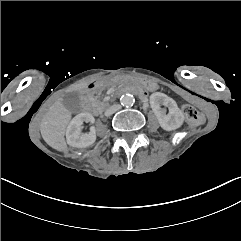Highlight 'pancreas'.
<instances>
[{
	"label": "pancreas",
	"mask_w": 241,
	"mask_h": 241,
	"mask_svg": "<svg viewBox=\"0 0 241 241\" xmlns=\"http://www.w3.org/2000/svg\"><path fill=\"white\" fill-rule=\"evenodd\" d=\"M90 101H91L93 107H97V105H96V101H97V100H96L94 97H90ZM107 106H108V103L100 102V104H99V106L97 107V109H98L99 111H102V110L105 109V107H107Z\"/></svg>",
	"instance_id": "pancreas-1"
}]
</instances>
